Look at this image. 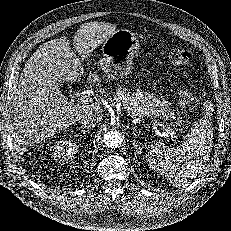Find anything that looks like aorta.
<instances>
[{
    "instance_id": "aorta-1",
    "label": "aorta",
    "mask_w": 231,
    "mask_h": 231,
    "mask_svg": "<svg viewBox=\"0 0 231 231\" xmlns=\"http://www.w3.org/2000/svg\"><path fill=\"white\" fill-rule=\"evenodd\" d=\"M123 142V136L118 131H108L104 135V143L108 148H118Z\"/></svg>"
}]
</instances>
